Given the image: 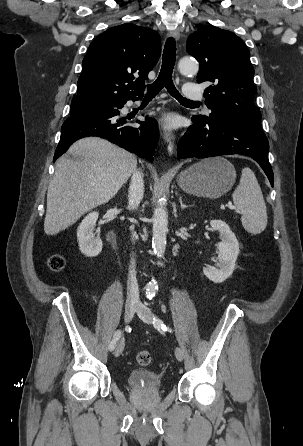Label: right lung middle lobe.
<instances>
[{"label":"right lung middle lobe","instance_id":"dd1d6c3e","mask_svg":"<svg viewBox=\"0 0 303 446\" xmlns=\"http://www.w3.org/2000/svg\"><path fill=\"white\" fill-rule=\"evenodd\" d=\"M111 107H115V106L102 107V108H111ZM88 109H89V106L85 102L77 101V100L74 101L73 100L72 103H71L70 115L81 113V112H85V111H89Z\"/></svg>","mask_w":303,"mask_h":446}]
</instances>
